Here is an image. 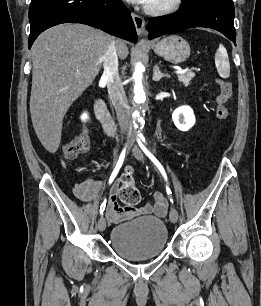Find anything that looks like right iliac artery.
<instances>
[{
	"instance_id": "right-iliac-artery-1",
	"label": "right iliac artery",
	"mask_w": 261,
	"mask_h": 306,
	"mask_svg": "<svg viewBox=\"0 0 261 306\" xmlns=\"http://www.w3.org/2000/svg\"><path fill=\"white\" fill-rule=\"evenodd\" d=\"M125 154H126V146L124 147V149L122 150L121 154H120V157H119V160L117 162V165L111 175V178H110V182H112L114 180V178L116 177L119 169L121 168L123 162H124V158H125ZM106 199L103 201V203L101 204L100 206V214H103L104 210H105V207H106Z\"/></svg>"
}]
</instances>
